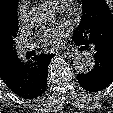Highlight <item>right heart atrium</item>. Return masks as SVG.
Instances as JSON below:
<instances>
[{"mask_svg": "<svg viewBox=\"0 0 113 113\" xmlns=\"http://www.w3.org/2000/svg\"><path fill=\"white\" fill-rule=\"evenodd\" d=\"M26 12H27L26 0H21V2L19 3V6H18V12H17L18 20L20 22L24 21V19L26 17Z\"/></svg>", "mask_w": 113, "mask_h": 113, "instance_id": "d8ad5b80", "label": "right heart atrium"}]
</instances>
